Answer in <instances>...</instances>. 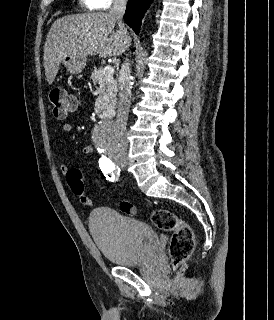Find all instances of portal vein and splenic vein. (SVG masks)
<instances>
[{
  "label": "portal vein and splenic vein",
  "instance_id": "1",
  "mask_svg": "<svg viewBox=\"0 0 274 320\" xmlns=\"http://www.w3.org/2000/svg\"><path fill=\"white\" fill-rule=\"evenodd\" d=\"M103 76H106V78H111L114 74V68L112 66H106L102 72Z\"/></svg>",
  "mask_w": 274,
  "mask_h": 320
}]
</instances>
